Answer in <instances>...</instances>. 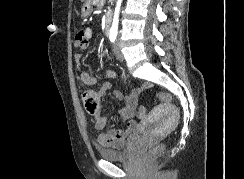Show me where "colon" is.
<instances>
[{"mask_svg":"<svg viewBox=\"0 0 244 179\" xmlns=\"http://www.w3.org/2000/svg\"><path fill=\"white\" fill-rule=\"evenodd\" d=\"M156 98L164 102L173 101V96H170V93H156ZM82 102L86 109V112L90 115L98 114L99 112V102L97 100L96 93L91 89H84L81 92ZM148 104H137L138 111H133V116H138V119H147V114H143L145 109H148ZM159 147H151L150 150H146L144 153V158H153V155H156L157 152H163V143H158Z\"/></svg>","mask_w":244,"mask_h":179,"instance_id":"obj_1","label":"colon"}]
</instances>
